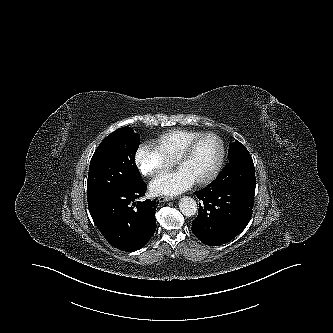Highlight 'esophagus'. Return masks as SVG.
Returning a JSON list of instances; mask_svg holds the SVG:
<instances>
[{
  "label": "esophagus",
  "instance_id": "34e87169",
  "mask_svg": "<svg viewBox=\"0 0 333 333\" xmlns=\"http://www.w3.org/2000/svg\"><path fill=\"white\" fill-rule=\"evenodd\" d=\"M172 199H173V197H170V196H159L158 197L159 202L170 201Z\"/></svg>",
  "mask_w": 333,
  "mask_h": 333
}]
</instances>
